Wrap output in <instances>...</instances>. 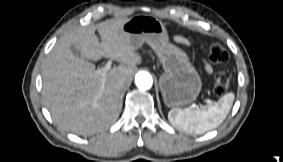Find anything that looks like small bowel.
<instances>
[{"label":"small bowel","mask_w":283,"mask_h":162,"mask_svg":"<svg viewBox=\"0 0 283 162\" xmlns=\"http://www.w3.org/2000/svg\"><path fill=\"white\" fill-rule=\"evenodd\" d=\"M178 42L186 43V41L183 40V39H178ZM204 68H205L206 72H208V73L212 72V67L209 64L205 63Z\"/></svg>","instance_id":"1"}]
</instances>
